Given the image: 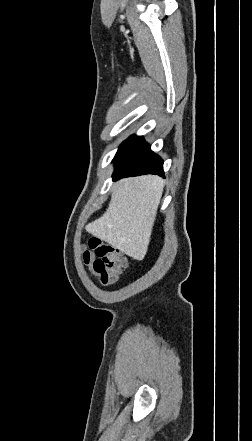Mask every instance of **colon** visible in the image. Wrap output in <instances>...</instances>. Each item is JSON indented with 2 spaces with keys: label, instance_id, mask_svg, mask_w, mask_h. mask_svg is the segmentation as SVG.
I'll return each mask as SVG.
<instances>
[{
  "label": "colon",
  "instance_id": "colon-1",
  "mask_svg": "<svg viewBox=\"0 0 252 441\" xmlns=\"http://www.w3.org/2000/svg\"><path fill=\"white\" fill-rule=\"evenodd\" d=\"M84 263L104 285L115 283L127 266V260L115 247L92 238L83 253Z\"/></svg>",
  "mask_w": 252,
  "mask_h": 441
}]
</instances>
